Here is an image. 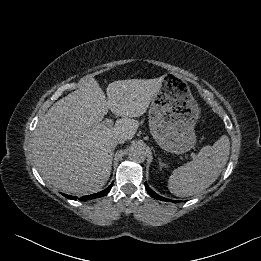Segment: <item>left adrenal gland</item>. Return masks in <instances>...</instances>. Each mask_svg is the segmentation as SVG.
Instances as JSON below:
<instances>
[{"mask_svg": "<svg viewBox=\"0 0 261 261\" xmlns=\"http://www.w3.org/2000/svg\"><path fill=\"white\" fill-rule=\"evenodd\" d=\"M159 166H160V169H162V167H166V164L162 163L160 158H159Z\"/></svg>", "mask_w": 261, "mask_h": 261, "instance_id": "obj_1", "label": "left adrenal gland"}]
</instances>
